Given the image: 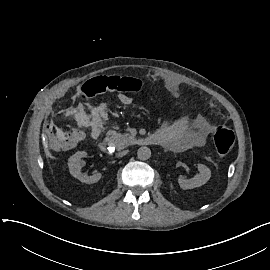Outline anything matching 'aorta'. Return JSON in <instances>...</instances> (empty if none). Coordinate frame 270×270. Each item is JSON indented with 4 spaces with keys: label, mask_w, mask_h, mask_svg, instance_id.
I'll return each mask as SVG.
<instances>
[{
    "label": "aorta",
    "mask_w": 270,
    "mask_h": 270,
    "mask_svg": "<svg viewBox=\"0 0 270 270\" xmlns=\"http://www.w3.org/2000/svg\"><path fill=\"white\" fill-rule=\"evenodd\" d=\"M137 156L140 160H147L151 157V150L148 147H140L137 151Z\"/></svg>",
    "instance_id": "aorta-1"
}]
</instances>
